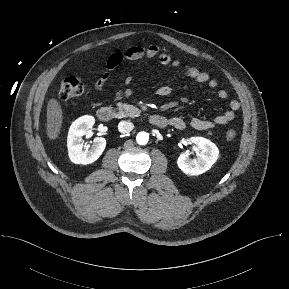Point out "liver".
<instances>
[{"label": "liver", "instance_id": "1", "mask_svg": "<svg viewBox=\"0 0 289 289\" xmlns=\"http://www.w3.org/2000/svg\"><path fill=\"white\" fill-rule=\"evenodd\" d=\"M63 123V111L57 99L51 98L47 104L46 134L53 141L60 134Z\"/></svg>", "mask_w": 289, "mask_h": 289}]
</instances>
